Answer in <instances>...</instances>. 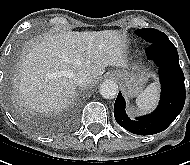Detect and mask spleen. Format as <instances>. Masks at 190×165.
Instances as JSON below:
<instances>
[{"label":"spleen","instance_id":"spleen-1","mask_svg":"<svg viewBox=\"0 0 190 165\" xmlns=\"http://www.w3.org/2000/svg\"><path fill=\"white\" fill-rule=\"evenodd\" d=\"M159 93V86L156 82L151 83L142 91L136 98V104L141 111L151 110L157 99Z\"/></svg>","mask_w":190,"mask_h":165}]
</instances>
